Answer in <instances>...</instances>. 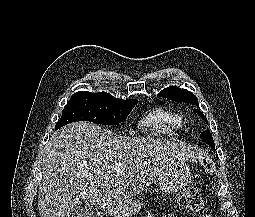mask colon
<instances>
[{"instance_id":"5ec220e1","label":"colon","mask_w":255,"mask_h":217,"mask_svg":"<svg viewBox=\"0 0 255 217\" xmlns=\"http://www.w3.org/2000/svg\"><path fill=\"white\" fill-rule=\"evenodd\" d=\"M179 206L189 212H198L203 206V200L199 191L189 187L182 190L176 197Z\"/></svg>"}]
</instances>
